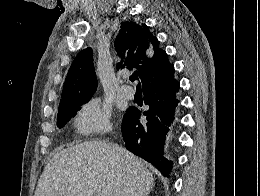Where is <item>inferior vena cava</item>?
<instances>
[{"label": "inferior vena cava", "mask_w": 260, "mask_h": 196, "mask_svg": "<svg viewBox=\"0 0 260 196\" xmlns=\"http://www.w3.org/2000/svg\"><path fill=\"white\" fill-rule=\"evenodd\" d=\"M123 196H134V194L132 190H126L125 188Z\"/></svg>", "instance_id": "inferior-vena-cava-1"}]
</instances>
